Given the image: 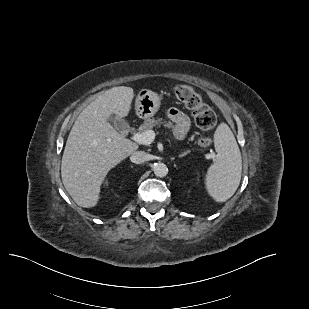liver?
<instances>
[{"label":"liver","mask_w":309,"mask_h":309,"mask_svg":"<svg viewBox=\"0 0 309 309\" xmlns=\"http://www.w3.org/2000/svg\"><path fill=\"white\" fill-rule=\"evenodd\" d=\"M134 92L113 87L91 102L77 117L64 149L61 177L65 189L81 207L97 205L107 173L138 149L108 122L112 114L126 117Z\"/></svg>","instance_id":"liver-1"}]
</instances>
